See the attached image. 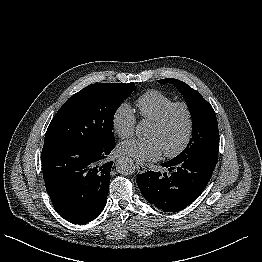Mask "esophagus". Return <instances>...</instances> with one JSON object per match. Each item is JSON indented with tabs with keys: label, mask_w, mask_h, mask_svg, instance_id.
<instances>
[{
	"label": "esophagus",
	"mask_w": 262,
	"mask_h": 262,
	"mask_svg": "<svg viewBox=\"0 0 262 262\" xmlns=\"http://www.w3.org/2000/svg\"><path fill=\"white\" fill-rule=\"evenodd\" d=\"M136 168L139 173H144L146 171V167L141 162H136Z\"/></svg>",
	"instance_id": "34e87169"
}]
</instances>
